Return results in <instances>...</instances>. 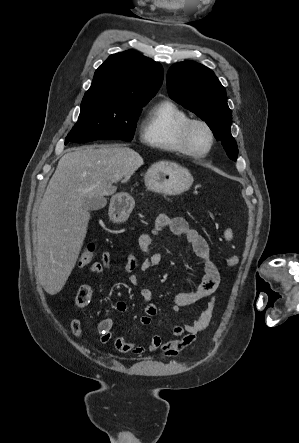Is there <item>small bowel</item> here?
Listing matches in <instances>:
<instances>
[{"mask_svg": "<svg viewBox=\"0 0 299 443\" xmlns=\"http://www.w3.org/2000/svg\"><path fill=\"white\" fill-rule=\"evenodd\" d=\"M169 228L176 236H183L191 245L195 255L201 260L204 267V277L195 291L181 292L175 295L172 310L178 312L181 308L191 306L199 300L209 297L206 308L201 313L200 318L185 325H175L171 329V335L174 337L182 336L178 339L164 341L159 335H152L147 346L140 345L137 341H126L122 336H114V320L105 318L98 324V332L100 341L103 344L112 343L115 350L121 353H131L140 355L145 352L162 350L167 356H174L183 349L190 346L196 339L197 334L202 332L210 324L214 309L216 306V294L221 285V277L219 269L214 262L209 245L206 239L200 235L195 229L191 228L185 219L181 217H171L166 214H160L154 222L153 235H158L164 229ZM140 252L145 256L143 262L138 263L137 258L133 254H128L122 265H114L110 253L105 251L101 255V262H94L89 265V272L92 275H99L104 269L112 271H124L131 273L129 283L133 286L139 282V273L154 267L162 261L160 253L152 248V236L142 233L137 241ZM139 293L145 302V314L140 317L142 325H149L152 318L157 314V306L152 302V292L148 288H141ZM93 291L90 285L83 284L80 286L75 306L79 311L85 310L92 300ZM115 309L119 314L127 312V305L123 301L115 304ZM73 335L82 340V327L79 319L75 318L70 323Z\"/></svg>", "mask_w": 299, "mask_h": 443, "instance_id": "obj_1", "label": "small bowel"}]
</instances>
